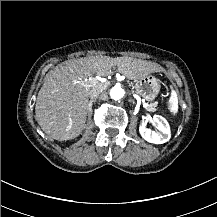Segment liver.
<instances>
[{
	"label": "liver",
	"instance_id": "obj_1",
	"mask_svg": "<svg viewBox=\"0 0 217 217\" xmlns=\"http://www.w3.org/2000/svg\"><path fill=\"white\" fill-rule=\"evenodd\" d=\"M114 67L130 80L164 71L155 62L128 56H91L61 63L45 76L37 95L35 120L42 131L57 141L77 138L86 125L89 78L110 75Z\"/></svg>",
	"mask_w": 217,
	"mask_h": 217
}]
</instances>
